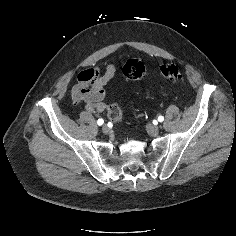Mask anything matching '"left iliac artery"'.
<instances>
[{"instance_id":"left-iliac-artery-1","label":"left iliac artery","mask_w":236,"mask_h":236,"mask_svg":"<svg viewBox=\"0 0 236 236\" xmlns=\"http://www.w3.org/2000/svg\"><path fill=\"white\" fill-rule=\"evenodd\" d=\"M158 121H159V122H163V121H164V117H163V116H159V117H158Z\"/></svg>"}]
</instances>
